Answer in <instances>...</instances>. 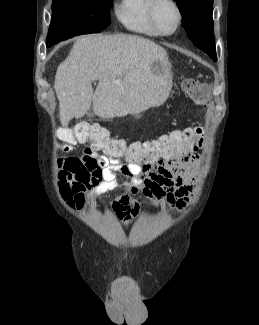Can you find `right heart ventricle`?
I'll return each mask as SVG.
<instances>
[{"label": "right heart ventricle", "mask_w": 259, "mask_h": 325, "mask_svg": "<svg viewBox=\"0 0 259 325\" xmlns=\"http://www.w3.org/2000/svg\"><path fill=\"white\" fill-rule=\"evenodd\" d=\"M150 3L151 0H120L115 8L116 17L133 32L158 36L148 18Z\"/></svg>", "instance_id": "1"}]
</instances>
